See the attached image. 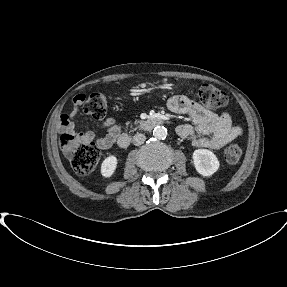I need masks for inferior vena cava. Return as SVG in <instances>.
<instances>
[{"label":"inferior vena cava","mask_w":287,"mask_h":287,"mask_svg":"<svg viewBox=\"0 0 287 287\" xmlns=\"http://www.w3.org/2000/svg\"><path fill=\"white\" fill-rule=\"evenodd\" d=\"M146 140V136L144 134L141 133H137L133 136V144L134 145H141L145 142Z\"/></svg>","instance_id":"602c4592"}]
</instances>
